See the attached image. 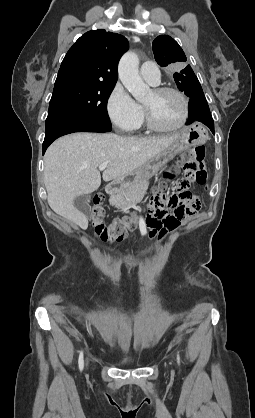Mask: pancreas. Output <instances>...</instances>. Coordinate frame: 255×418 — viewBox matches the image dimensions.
I'll return each mask as SVG.
<instances>
[{
  "mask_svg": "<svg viewBox=\"0 0 255 418\" xmlns=\"http://www.w3.org/2000/svg\"><path fill=\"white\" fill-rule=\"evenodd\" d=\"M148 179H143L122 189L110 199V204L128 213L129 209L142 200L148 189Z\"/></svg>",
  "mask_w": 255,
  "mask_h": 418,
  "instance_id": "pancreas-1",
  "label": "pancreas"
}]
</instances>
